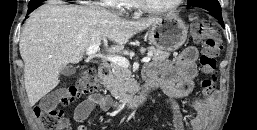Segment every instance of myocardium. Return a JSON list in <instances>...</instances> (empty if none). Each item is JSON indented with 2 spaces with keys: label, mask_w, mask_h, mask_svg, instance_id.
I'll use <instances>...</instances> for the list:
<instances>
[{
  "label": "myocardium",
  "mask_w": 257,
  "mask_h": 130,
  "mask_svg": "<svg viewBox=\"0 0 257 130\" xmlns=\"http://www.w3.org/2000/svg\"><path fill=\"white\" fill-rule=\"evenodd\" d=\"M136 7L148 14H154V15H159V14H166L170 13L174 10H176L182 3L183 0H175L171 5L163 8H153L148 6L144 0H134Z\"/></svg>",
  "instance_id": "myocardium-1"
}]
</instances>
